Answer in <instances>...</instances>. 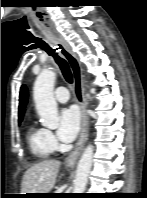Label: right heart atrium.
I'll return each instance as SVG.
<instances>
[{"label":"right heart atrium","instance_id":"right-heart-atrium-1","mask_svg":"<svg viewBox=\"0 0 147 198\" xmlns=\"http://www.w3.org/2000/svg\"><path fill=\"white\" fill-rule=\"evenodd\" d=\"M46 136L50 147L54 150L57 147V140L54 134L50 130H46Z\"/></svg>","mask_w":147,"mask_h":198}]
</instances>
